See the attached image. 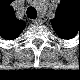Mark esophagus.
<instances>
[{
	"label": "esophagus",
	"instance_id": "esophagus-1",
	"mask_svg": "<svg viewBox=\"0 0 80 80\" xmlns=\"http://www.w3.org/2000/svg\"><path fill=\"white\" fill-rule=\"evenodd\" d=\"M33 23L36 25L42 24V20L36 18L35 20H33Z\"/></svg>",
	"mask_w": 80,
	"mask_h": 80
}]
</instances>
